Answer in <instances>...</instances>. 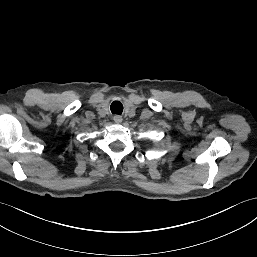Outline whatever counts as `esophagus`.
I'll return each instance as SVG.
<instances>
[{
	"mask_svg": "<svg viewBox=\"0 0 257 257\" xmlns=\"http://www.w3.org/2000/svg\"><path fill=\"white\" fill-rule=\"evenodd\" d=\"M113 120L115 123L119 124L122 122L123 119H122V116L120 115H114Z\"/></svg>",
	"mask_w": 257,
	"mask_h": 257,
	"instance_id": "34e87169",
	"label": "esophagus"
}]
</instances>
